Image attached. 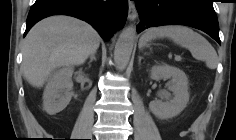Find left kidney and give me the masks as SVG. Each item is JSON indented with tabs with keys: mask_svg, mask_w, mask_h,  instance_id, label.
Instances as JSON below:
<instances>
[{
	"mask_svg": "<svg viewBox=\"0 0 236 140\" xmlns=\"http://www.w3.org/2000/svg\"><path fill=\"white\" fill-rule=\"evenodd\" d=\"M150 78L153 80L171 78L169 90L174 94L173 99L170 101H151L149 103L151 112L160 119H168L179 115L189 101L188 78L186 74L176 67L163 64L152 67Z\"/></svg>",
	"mask_w": 236,
	"mask_h": 140,
	"instance_id": "obj_1",
	"label": "left kidney"
}]
</instances>
